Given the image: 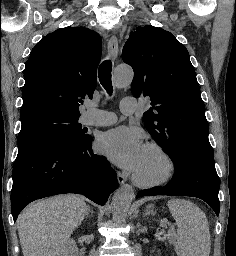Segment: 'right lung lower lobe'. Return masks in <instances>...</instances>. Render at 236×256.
<instances>
[{
	"label": "right lung lower lobe",
	"mask_w": 236,
	"mask_h": 256,
	"mask_svg": "<svg viewBox=\"0 0 236 256\" xmlns=\"http://www.w3.org/2000/svg\"><path fill=\"white\" fill-rule=\"evenodd\" d=\"M117 187V175L110 163L93 153L91 136L80 144L48 143L17 155L11 213L15 222L30 202L63 193L82 194L104 205Z\"/></svg>",
	"instance_id": "obj_1"
}]
</instances>
